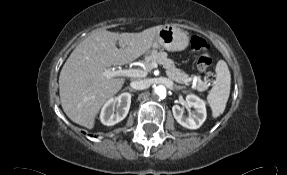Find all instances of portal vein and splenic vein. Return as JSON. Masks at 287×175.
<instances>
[{
  "mask_svg": "<svg viewBox=\"0 0 287 175\" xmlns=\"http://www.w3.org/2000/svg\"><path fill=\"white\" fill-rule=\"evenodd\" d=\"M157 63L152 64V69L157 68ZM147 71L146 70H141V69H118V70H106L104 72V75L107 78L111 77H117V76H124V77H145L147 76ZM198 82H202L201 80L198 79Z\"/></svg>",
  "mask_w": 287,
  "mask_h": 175,
  "instance_id": "1",
  "label": "portal vein and splenic vein"
}]
</instances>
